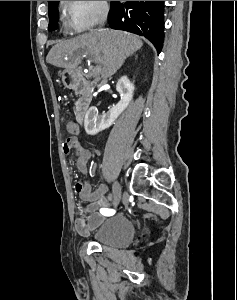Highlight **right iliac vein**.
<instances>
[{
	"instance_id": "right-iliac-vein-1",
	"label": "right iliac vein",
	"mask_w": 237,
	"mask_h": 300,
	"mask_svg": "<svg viewBox=\"0 0 237 300\" xmlns=\"http://www.w3.org/2000/svg\"><path fill=\"white\" fill-rule=\"evenodd\" d=\"M121 198V186L118 182H115L113 186V197H112V206L116 207Z\"/></svg>"
}]
</instances>
